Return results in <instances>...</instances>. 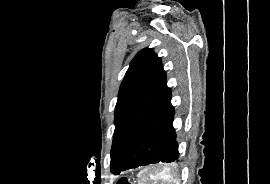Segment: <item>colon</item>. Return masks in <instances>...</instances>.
<instances>
[{"instance_id":"1","label":"colon","mask_w":270,"mask_h":184,"mask_svg":"<svg viewBox=\"0 0 270 184\" xmlns=\"http://www.w3.org/2000/svg\"><path fill=\"white\" fill-rule=\"evenodd\" d=\"M118 184H132L129 179L122 178L119 180Z\"/></svg>"}]
</instances>
